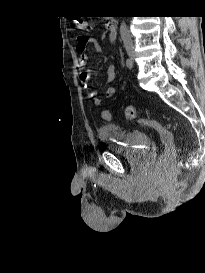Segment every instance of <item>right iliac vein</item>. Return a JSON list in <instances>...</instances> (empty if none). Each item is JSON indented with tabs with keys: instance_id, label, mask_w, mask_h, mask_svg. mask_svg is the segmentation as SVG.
<instances>
[{
	"instance_id": "63e3f726",
	"label": "right iliac vein",
	"mask_w": 205,
	"mask_h": 273,
	"mask_svg": "<svg viewBox=\"0 0 205 273\" xmlns=\"http://www.w3.org/2000/svg\"><path fill=\"white\" fill-rule=\"evenodd\" d=\"M127 54L129 56L130 59H133L134 58V53L132 50H127Z\"/></svg>"
}]
</instances>
